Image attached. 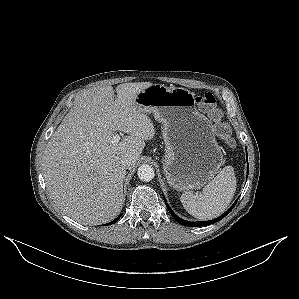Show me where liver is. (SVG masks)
<instances>
[{"label":"liver","mask_w":299,"mask_h":299,"mask_svg":"<svg viewBox=\"0 0 299 299\" xmlns=\"http://www.w3.org/2000/svg\"><path fill=\"white\" fill-rule=\"evenodd\" d=\"M150 82L94 87L78 94L74 106L48 141L42 167L55 205L73 220L98 225L113 220L124 204V157L134 167L154 136L150 118L136 104V95ZM116 131L127 133L116 144Z\"/></svg>","instance_id":"obj_1"}]
</instances>
